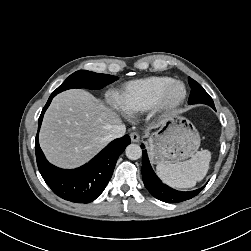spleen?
<instances>
[{"label": "spleen", "instance_id": "spleen-1", "mask_svg": "<svg viewBox=\"0 0 251 251\" xmlns=\"http://www.w3.org/2000/svg\"><path fill=\"white\" fill-rule=\"evenodd\" d=\"M211 160L208 150L198 151L191 159L177 163H160L156 166L159 177L174 188H191L206 176Z\"/></svg>", "mask_w": 251, "mask_h": 251}]
</instances>
